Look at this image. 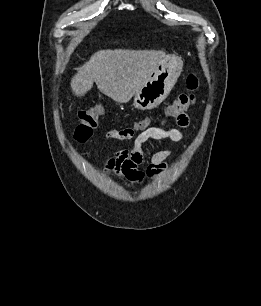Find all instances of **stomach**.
<instances>
[{"label": "stomach", "mask_w": 261, "mask_h": 306, "mask_svg": "<svg viewBox=\"0 0 261 306\" xmlns=\"http://www.w3.org/2000/svg\"><path fill=\"white\" fill-rule=\"evenodd\" d=\"M183 68L181 58L172 55L159 63L148 81L134 95L133 106L138 110L157 107L170 93Z\"/></svg>", "instance_id": "stomach-1"}]
</instances>
